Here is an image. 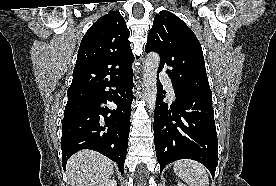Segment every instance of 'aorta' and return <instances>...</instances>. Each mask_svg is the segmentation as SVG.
Returning <instances> with one entry per match:
<instances>
[{
  "label": "aorta",
  "instance_id": "1",
  "mask_svg": "<svg viewBox=\"0 0 276 186\" xmlns=\"http://www.w3.org/2000/svg\"><path fill=\"white\" fill-rule=\"evenodd\" d=\"M159 64L160 56L156 52H151L147 55L143 71V85L145 89L144 97L150 113L154 112L156 107L157 71Z\"/></svg>",
  "mask_w": 276,
  "mask_h": 186
}]
</instances>
